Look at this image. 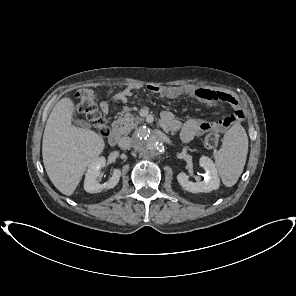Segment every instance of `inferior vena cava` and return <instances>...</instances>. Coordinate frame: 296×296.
<instances>
[{
	"label": "inferior vena cava",
	"instance_id": "602c4592",
	"mask_svg": "<svg viewBox=\"0 0 296 296\" xmlns=\"http://www.w3.org/2000/svg\"><path fill=\"white\" fill-rule=\"evenodd\" d=\"M132 138L130 137H122L120 140H119V147L121 149H129L132 145Z\"/></svg>",
	"mask_w": 296,
	"mask_h": 296
}]
</instances>
